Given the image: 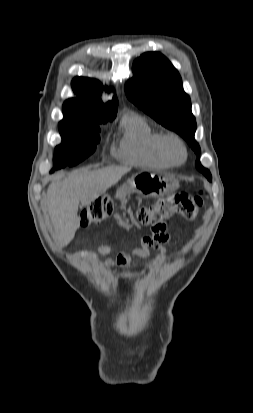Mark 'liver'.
I'll use <instances>...</instances> for the list:
<instances>
[{
  "instance_id": "1",
  "label": "liver",
  "mask_w": 253,
  "mask_h": 413,
  "mask_svg": "<svg viewBox=\"0 0 253 413\" xmlns=\"http://www.w3.org/2000/svg\"><path fill=\"white\" fill-rule=\"evenodd\" d=\"M129 167L109 166L98 170L73 172L49 185L47 207L54 227L53 239L59 248L68 245L80 226L78 206H86L115 185Z\"/></svg>"
}]
</instances>
